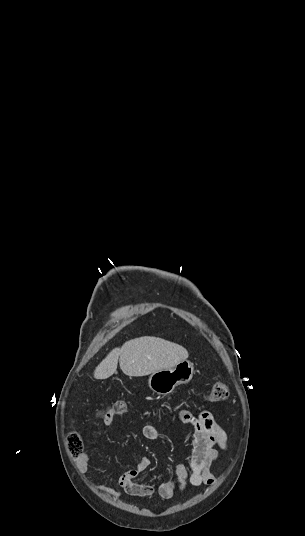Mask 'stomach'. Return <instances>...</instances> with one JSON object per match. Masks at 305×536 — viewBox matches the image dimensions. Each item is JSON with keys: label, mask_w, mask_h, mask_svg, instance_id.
<instances>
[{"label": "stomach", "mask_w": 305, "mask_h": 536, "mask_svg": "<svg viewBox=\"0 0 305 536\" xmlns=\"http://www.w3.org/2000/svg\"><path fill=\"white\" fill-rule=\"evenodd\" d=\"M194 374V364L189 360L179 362L169 370H158L151 374L148 384L150 390L159 394V396H167L171 394L176 386L187 384L192 380Z\"/></svg>", "instance_id": "obj_1"}]
</instances>
